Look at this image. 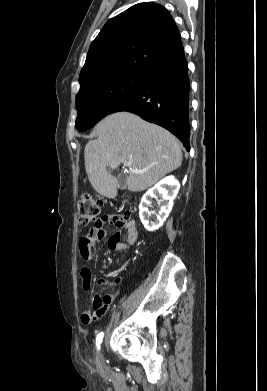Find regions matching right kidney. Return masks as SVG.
I'll use <instances>...</instances> for the list:
<instances>
[{
	"label": "right kidney",
	"instance_id": "right-kidney-1",
	"mask_svg": "<svg viewBox=\"0 0 267 391\" xmlns=\"http://www.w3.org/2000/svg\"><path fill=\"white\" fill-rule=\"evenodd\" d=\"M179 189V181L174 176H167L143 195L139 205V216L146 230L153 232L163 225L172 210L173 200L176 198ZM153 198L160 205V211L156 214L154 221L150 220L154 212L148 209Z\"/></svg>",
	"mask_w": 267,
	"mask_h": 391
}]
</instances>
